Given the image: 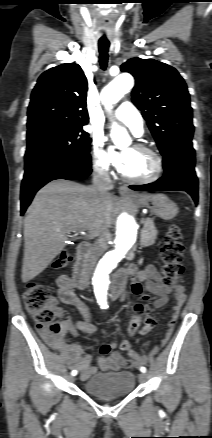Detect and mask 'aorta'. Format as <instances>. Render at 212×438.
Masks as SVG:
<instances>
[{
  "mask_svg": "<svg viewBox=\"0 0 212 438\" xmlns=\"http://www.w3.org/2000/svg\"><path fill=\"white\" fill-rule=\"evenodd\" d=\"M133 85L134 80L130 74L122 73L118 75L101 92V101L105 108L110 111L112 105L128 93L133 88ZM122 131V128L114 122L112 137ZM137 237L138 226L134 217L127 212H123L116 220L115 248L108 251L99 261L96 269L90 273V285L100 305H107L110 274L126 257L136 243Z\"/></svg>",
  "mask_w": 212,
  "mask_h": 438,
  "instance_id": "762f6f07",
  "label": "aorta"
}]
</instances>
